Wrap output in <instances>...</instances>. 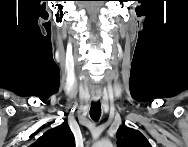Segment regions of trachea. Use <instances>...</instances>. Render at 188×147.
Returning a JSON list of instances; mask_svg holds the SVG:
<instances>
[{
    "label": "trachea",
    "mask_w": 188,
    "mask_h": 147,
    "mask_svg": "<svg viewBox=\"0 0 188 147\" xmlns=\"http://www.w3.org/2000/svg\"><path fill=\"white\" fill-rule=\"evenodd\" d=\"M101 115V104L100 102L92 103L90 108V116L93 120H98Z\"/></svg>",
    "instance_id": "obj_1"
}]
</instances>
